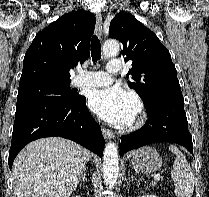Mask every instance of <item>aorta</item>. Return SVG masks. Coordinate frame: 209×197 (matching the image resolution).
Listing matches in <instances>:
<instances>
[{
  "mask_svg": "<svg viewBox=\"0 0 209 197\" xmlns=\"http://www.w3.org/2000/svg\"><path fill=\"white\" fill-rule=\"evenodd\" d=\"M103 55L105 57H113L119 53L120 45L116 40H108L103 45ZM119 171V155L117 146L113 142L106 144L103 153V177L109 188L113 187L117 182Z\"/></svg>",
  "mask_w": 209,
  "mask_h": 197,
  "instance_id": "aorta-1",
  "label": "aorta"
}]
</instances>
